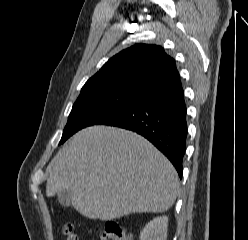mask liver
<instances>
[{
	"instance_id": "6515ba94",
	"label": "liver",
	"mask_w": 248,
	"mask_h": 240,
	"mask_svg": "<svg viewBox=\"0 0 248 240\" xmlns=\"http://www.w3.org/2000/svg\"><path fill=\"white\" fill-rule=\"evenodd\" d=\"M48 171L47 197L69 189L76 211L102 221L165 212L179 191L177 172L160 151L136 133L109 126L76 133Z\"/></svg>"
}]
</instances>
